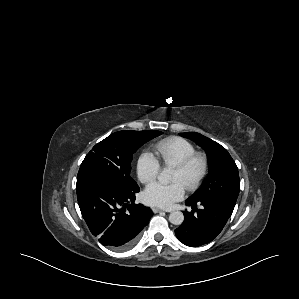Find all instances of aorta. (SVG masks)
<instances>
[{"instance_id": "obj_1", "label": "aorta", "mask_w": 299, "mask_h": 299, "mask_svg": "<svg viewBox=\"0 0 299 299\" xmlns=\"http://www.w3.org/2000/svg\"><path fill=\"white\" fill-rule=\"evenodd\" d=\"M158 180L161 184H168L171 181V170L164 168L160 172ZM169 221L174 225H181L184 221V214L181 211H173L169 215Z\"/></svg>"}]
</instances>
